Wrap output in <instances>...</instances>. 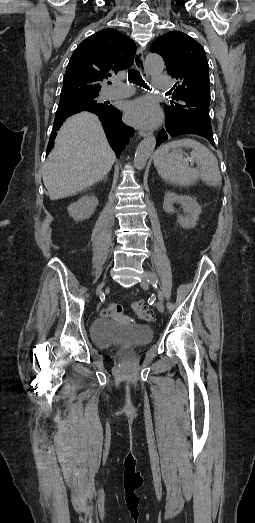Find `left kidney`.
I'll list each match as a JSON object with an SVG mask.
<instances>
[{
	"label": "left kidney",
	"instance_id": "obj_1",
	"mask_svg": "<svg viewBox=\"0 0 255 523\" xmlns=\"http://www.w3.org/2000/svg\"><path fill=\"white\" fill-rule=\"evenodd\" d=\"M175 202L181 204L185 214H187V216H178L177 220L180 226L186 228V230L194 228L202 212L201 206H199L195 198H190V196H178V194H174V192H166L163 202V210H165L167 214H175L173 206Z\"/></svg>",
	"mask_w": 255,
	"mask_h": 523
}]
</instances>
